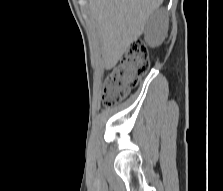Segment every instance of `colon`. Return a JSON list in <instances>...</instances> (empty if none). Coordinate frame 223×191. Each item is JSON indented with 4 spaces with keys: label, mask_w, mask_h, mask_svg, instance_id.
<instances>
[{
    "label": "colon",
    "mask_w": 223,
    "mask_h": 191,
    "mask_svg": "<svg viewBox=\"0 0 223 191\" xmlns=\"http://www.w3.org/2000/svg\"><path fill=\"white\" fill-rule=\"evenodd\" d=\"M150 69V59L144 45L135 43L124 58L109 73L103 91V104L112 107L124 100L139 85Z\"/></svg>",
    "instance_id": "5ec220e1"
}]
</instances>
